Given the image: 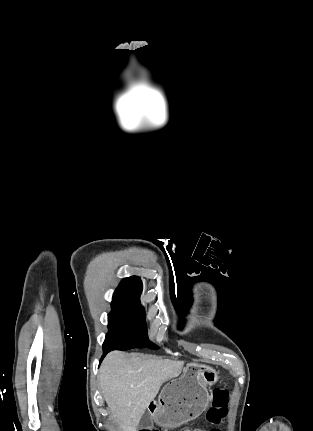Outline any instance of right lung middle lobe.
<instances>
[{"instance_id":"dd1d6c3e","label":"right lung middle lobe","mask_w":313,"mask_h":431,"mask_svg":"<svg viewBox=\"0 0 313 431\" xmlns=\"http://www.w3.org/2000/svg\"><path fill=\"white\" fill-rule=\"evenodd\" d=\"M108 329L103 351L132 348L158 349L148 340L145 310L140 303L113 299L108 315Z\"/></svg>"}]
</instances>
